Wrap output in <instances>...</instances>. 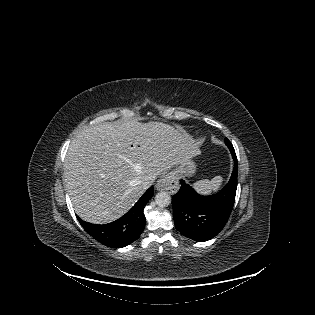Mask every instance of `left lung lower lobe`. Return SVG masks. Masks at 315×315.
<instances>
[{
	"label": "left lung lower lobe",
	"mask_w": 315,
	"mask_h": 315,
	"mask_svg": "<svg viewBox=\"0 0 315 315\" xmlns=\"http://www.w3.org/2000/svg\"><path fill=\"white\" fill-rule=\"evenodd\" d=\"M228 139L225 138V142ZM234 168L229 182L217 194L201 196L181 180V188L173 196V218L180 233L194 241H207L215 237L226 225L237 189L238 164L234 149L231 150Z\"/></svg>",
	"instance_id": "1"
}]
</instances>
